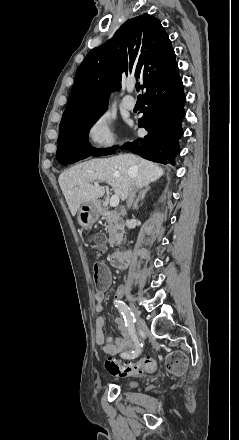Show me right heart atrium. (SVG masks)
Wrapping results in <instances>:
<instances>
[{
  "label": "right heart atrium",
  "instance_id": "d8ad5b80",
  "mask_svg": "<svg viewBox=\"0 0 239 440\" xmlns=\"http://www.w3.org/2000/svg\"><path fill=\"white\" fill-rule=\"evenodd\" d=\"M117 140L114 121L107 112L95 116L85 127L84 143L92 151L110 150Z\"/></svg>",
  "mask_w": 239,
  "mask_h": 440
}]
</instances>
